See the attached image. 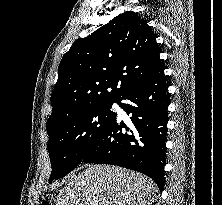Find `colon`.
Here are the masks:
<instances>
[{
  "label": "colon",
  "instance_id": "colon-1",
  "mask_svg": "<svg viewBox=\"0 0 222 205\" xmlns=\"http://www.w3.org/2000/svg\"><path fill=\"white\" fill-rule=\"evenodd\" d=\"M42 205H50L49 203H43Z\"/></svg>",
  "mask_w": 222,
  "mask_h": 205
}]
</instances>
